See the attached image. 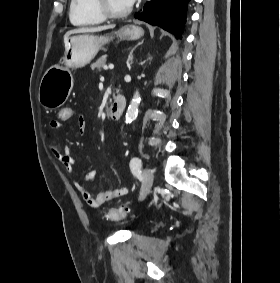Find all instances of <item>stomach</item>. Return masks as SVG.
I'll list each match as a JSON object with an SVG mask.
<instances>
[{"label": "stomach", "instance_id": "stomach-1", "mask_svg": "<svg viewBox=\"0 0 280 283\" xmlns=\"http://www.w3.org/2000/svg\"><path fill=\"white\" fill-rule=\"evenodd\" d=\"M115 34L122 40H137L144 35V30L136 25H126ZM111 39L105 35L70 37L61 64L51 66L41 79L38 95L40 104L46 109H55L63 105L74 85L71 70L89 64Z\"/></svg>", "mask_w": 280, "mask_h": 283}]
</instances>
